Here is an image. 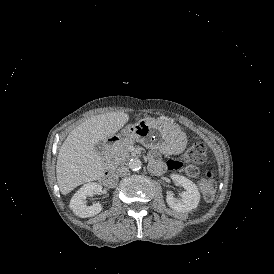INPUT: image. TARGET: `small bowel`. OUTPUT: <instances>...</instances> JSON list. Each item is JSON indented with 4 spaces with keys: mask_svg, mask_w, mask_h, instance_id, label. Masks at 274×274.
Listing matches in <instances>:
<instances>
[{
    "mask_svg": "<svg viewBox=\"0 0 274 274\" xmlns=\"http://www.w3.org/2000/svg\"><path fill=\"white\" fill-rule=\"evenodd\" d=\"M150 164L156 173H159L157 167L161 163L160 158L156 152H151L149 155Z\"/></svg>",
    "mask_w": 274,
    "mask_h": 274,
    "instance_id": "1",
    "label": "small bowel"
}]
</instances>
